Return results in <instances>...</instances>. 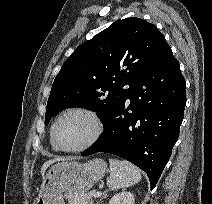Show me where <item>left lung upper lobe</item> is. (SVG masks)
<instances>
[{"mask_svg": "<svg viewBox=\"0 0 212 204\" xmlns=\"http://www.w3.org/2000/svg\"><path fill=\"white\" fill-rule=\"evenodd\" d=\"M169 49L157 27L143 19L112 23L64 62L53 82L45 124L69 107L97 111L103 122Z\"/></svg>", "mask_w": 212, "mask_h": 204, "instance_id": "5c2ea615", "label": "left lung upper lobe"}]
</instances>
